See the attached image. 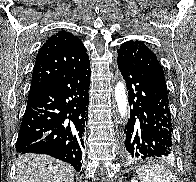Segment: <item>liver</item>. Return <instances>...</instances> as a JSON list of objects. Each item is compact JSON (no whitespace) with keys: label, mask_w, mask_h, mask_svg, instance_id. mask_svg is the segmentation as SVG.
<instances>
[{"label":"liver","mask_w":196,"mask_h":182,"mask_svg":"<svg viewBox=\"0 0 196 182\" xmlns=\"http://www.w3.org/2000/svg\"><path fill=\"white\" fill-rule=\"evenodd\" d=\"M16 182H73L71 165L42 154H24L16 163Z\"/></svg>","instance_id":"liver-1"}]
</instances>
